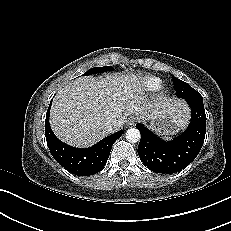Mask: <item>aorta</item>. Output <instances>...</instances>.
<instances>
[{"label": "aorta", "instance_id": "1", "mask_svg": "<svg viewBox=\"0 0 231 231\" xmlns=\"http://www.w3.org/2000/svg\"><path fill=\"white\" fill-rule=\"evenodd\" d=\"M140 131L136 128H130L126 132V139L130 143H136L140 140Z\"/></svg>", "mask_w": 231, "mask_h": 231}]
</instances>
